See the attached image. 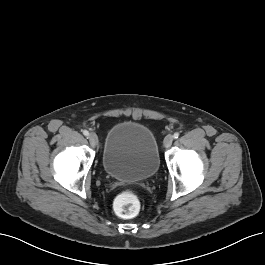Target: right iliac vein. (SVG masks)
<instances>
[{
    "mask_svg": "<svg viewBox=\"0 0 265 265\" xmlns=\"http://www.w3.org/2000/svg\"><path fill=\"white\" fill-rule=\"evenodd\" d=\"M89 142L92 147H95L98 144V137L95 133L89 135Z\"/></svg>",
    "mask_w": 265,
    "mask_h": 265,
    "instance_id": "1",
    "label": "right iliac vein"
}]
</instances>
